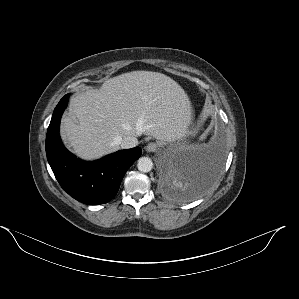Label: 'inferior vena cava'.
<instances>
[{
    "label": "inferior vena cava",
    "instance_id": "inferior-vena-cava-1",
    "mask_svg": "<svg viewBox=\"0 0 299 299\" xmlns=\"http://www.w3.org/2000/svg\"><path fill=\"white\" fill-rule=\"evenodd\" d=\"M115 144H118L121 146L123 149H129L136 147L138 145V140L136 137L133 136H127L124 138L118 137L115 139Z\"/></svg>",
    "mask_w": 299,
    "mask_h": 299
}]
</instances>
